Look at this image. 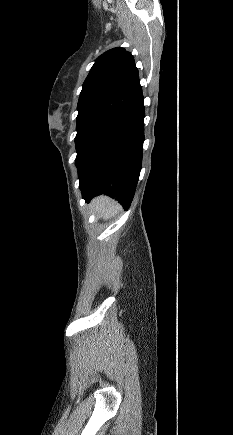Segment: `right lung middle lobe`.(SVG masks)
<instances>
[{"label":"right lung middle lobe","instance_id":"dd1d6c3e","mask_svg":"<svg viewBox=\"0 0 233 435\" xmlns=\"http://www.w3.org/2000/svg\"><path fill=\"white\" fill-rule=\"evenodd\" d=\"M123 115L100 112L77 117L75 164L85 159L92 148L123 118Z\"/></svg>","mask_w":233,"mask_h":435}]
</instances>
